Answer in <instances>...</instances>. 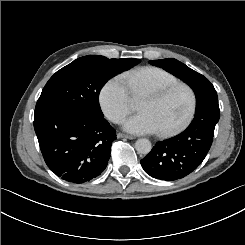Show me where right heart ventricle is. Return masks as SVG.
Wrapping results in <instances>:
<instances>
[{
  "mask_svg": "<svg viewBox=\"0 0 245 245\" xmlns=\"http://www.w3.org/2000/svg\"><path fill=\"white\" fill-rule=\"evenodd\" d=\"M133 97H140L150 85L168 86L180 83V80L168 71L154 66H142L128 70L120 75Z\"/></svg>",
  "mask_w": 245,
  "mask_h": 245,
  "instance_id": "obj_1",
  "label": "right heart ventricle"
}]
</instances>
